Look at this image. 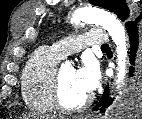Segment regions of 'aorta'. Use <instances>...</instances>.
Listing matches in <instances>:
<instances>
[{
    "mask_svg": "<svg viewBox=\"0 0 142 119\" xmlns=\"http://www.w3.org/2000/svg\"><path fill=\"white\" fill-rule=\"evenodd\" d=\"M79 21L101 25L107 30L113 42L116 44L118 59L116 84H118L119 87V84L125 77L127 58L126 34L121 22L113 14L91 7L80 8L73 13L72 22L78 23Z\"/></svg>",
    "mask_w": 142,
    "mask_h": 119,
    "instance_id": "obj_1",
    "label": "aorta"
}]
</instances>
